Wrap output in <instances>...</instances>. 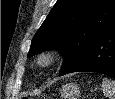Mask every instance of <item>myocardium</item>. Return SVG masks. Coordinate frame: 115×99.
I'll use <instances>...</instances> for the list:
<instances>
[{
	"label": "myocardium",
	"instance_id": "1",
	"mask_svg": "<svg viewBox=\"0 0 115 99\" xmlns=\"http://www.w3.org/2000/svg\"><path fill=\"white\" fill-rule=\"evenodd\" d=\"M59 59V53L56 50L48 49L39 53L35 63L39 68L47 69L54 66Z\"/></svg>",
	"mask_w": 115,
	"mask_h": 99
}]
</instances>
